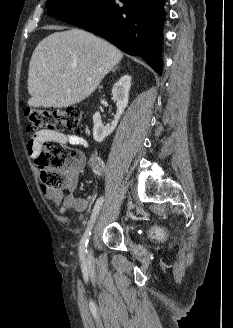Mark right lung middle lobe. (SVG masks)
<instances>
[{"instance_id":"obj_1","label":"right lung middle lobe","mask_w":233,"mask_h":328,"mask_svg":"<svg viewBox=\"0 0 233 328\" xmlns=\"http://www.w3.org/2000/svg\"><path fill=\"white\" fill-rule=\"evenodd\" d=\"M100 0H48V15L62 19L69 14L88 8Z\"/></svg>"}]
</instances>
